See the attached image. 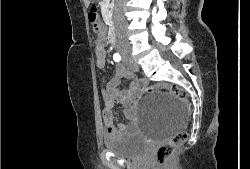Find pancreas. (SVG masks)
Here are the masks:
<instances>
[{"label":"pancreas","mask_w":250,"mask_h":169,"mask_svg":"<svg viewBox=\"0 0 250 169\" xmlns=\"http://www.w3.org/2000/svg\"><path fill=\"white\" fill-rule=\"evenodd\" d=\"M102 2H103V0H102ZM110 6H112V2H110Z\"/></svg>","instance_id":"cf45deb5"}]
</instances>
